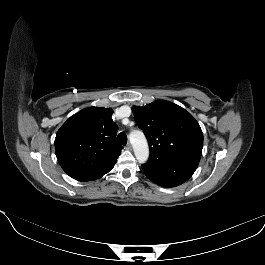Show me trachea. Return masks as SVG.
Listing matches in <instances>:
<instances>
[{
  "label": "trachea",
  "instance_id": "trachea-1",
  "mask_svg": "<svg viewBox=\"0 0 265 265\" xmlns=\"http://www.w3.org/2000/svg\"><path fill=\"white\" fill-rule=\"evenodd\" d=\"M117 142L121 145H126L127 144V136L124 132H121L117 136Z\"/></svg>",
  "mask_w": 265,
  "mask_h": 265
}]
</instances>
